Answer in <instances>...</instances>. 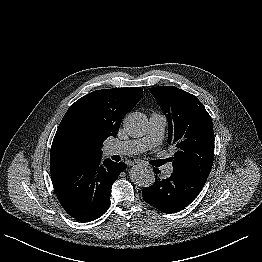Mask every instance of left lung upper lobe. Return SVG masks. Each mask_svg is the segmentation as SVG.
<instances>
[{
    "instance_id": "5c2ea615",
    "label": "left lung upper lobe",
    "mask_w": 262,
    "mask_h": 262,
    "mask_svg": "<svg viewBox=\"0 0 262 262\" xmlns=\"http://www.w3.org/2000/svg\"><path fill=\"white\" fill-rule=\"evenodd\" d=\"M149 91L168 121V143L178 151L170 158L175 171L206 181L214 160L212 119L198 98L174 86Z\"/></svg>"
}]
</instances>
